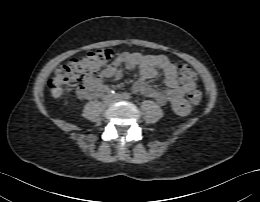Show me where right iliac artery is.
<instances>
[{
    "label": "right iliac artery",
    "mask_w": 260,
    "mask_h": 202,
    "mask_svg": "<svg viewBox=\"0 0 260 202\" xmlns=\"http://www.w3.org/2000/svg\"><path fill=\"white\" fill-rule=\"evenodd\" d=\"M109 96H114L115 95V91L111 90L108 92Z\"/></svg>",
    "instance_id": "1"
}]
</instances>
